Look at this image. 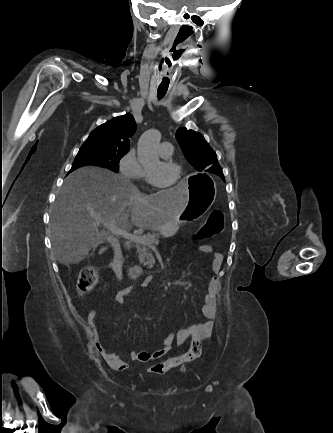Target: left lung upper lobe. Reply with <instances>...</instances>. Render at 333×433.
Listing matches in <instances>:
<instances>
[{
  "instance_id": "1",
  "label": "left lung upper lobe",
  "mask_w": 333,
  "mask_h": 433,
  "mask_svg": "<svg viewBox=\"0 0 333 433\" xmlns=\"http://www.w3.org/2000/svg\"><path fill=\"white\" fill-rule=\"evenodd\" d=\"M176 139L186 159L197 170L223 175L215 152L200 133L183 127L177 130Z\"/></svg>"
}]
</instances>
